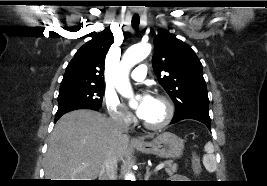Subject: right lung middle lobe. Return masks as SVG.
<instances>
[{
	"label": "right lung middle lobe",
	"instance_id": "dd1d6c3e",
	"mask_svg": "<svg viewBox=\"0 0 267 186\" xmlns=\"http://www.w3.org/2000/svg\"><path fill=\"white\" fill-rule=\"evenodd\" d=\"M105 86L67 85L60 86L58 107L74 105L101 106Z\"/></svg>",
	"mask_w": 267,
	"mask_h": 186
}]
</instances>
